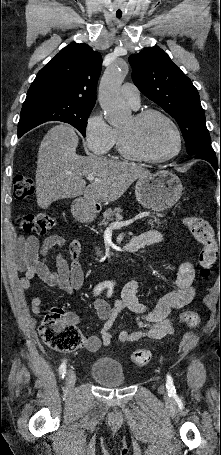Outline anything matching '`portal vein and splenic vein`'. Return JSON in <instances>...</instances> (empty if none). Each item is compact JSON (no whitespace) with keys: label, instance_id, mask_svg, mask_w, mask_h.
<instances>
[{"label":"portal vein and splenic vein","instance_id":"obj_1","mask_svg":"<svg viewBox=\"0 0 221 455\" xmlns=\"http://www.w3.org/2000/svg\"><path fill=\"white\" fill-rule=\"evenodd\" d=\"M85 177H86V179L89 180V181H100L99 179H97L96 177H94L92 174H87ZM149 215H150V214H149L148 212H143V213H140V214L136 215L134 218L129 219V220H126V221H116V222H112V223L110 224V227H111V228L118 229V228H121V227H124V226H128V225L132 224L133 222H135L136 220L145 218V217H147V216H149Z\"/></svg>","mask_w":221,"mask_h":455}]
</instances>
